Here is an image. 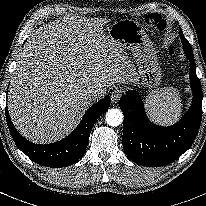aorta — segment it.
<instances>
[{
  "instance_id": "762f6f07",
  "label": "aorta",
  "mask_w": 206,
  "mask_h": 206,
  "mask_svg": "<svg viewBox=\"0 0 206 206\" xmlns=\"http://www.w3.org/2000/svg\"><path fill=\"white\" fill-rule=\"evenodd\" d=\"M123 121V113L120 109L112 108L106 113V122L110 126H119Z\"/></svg>"
}]
</instances>
